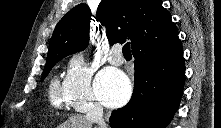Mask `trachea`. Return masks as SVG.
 Here are the masks:
<instances>
[{"label": "trachea", "mask_w": 221, "mask_h": 128, "mask_svg": "<svg viewBox=\"0 0 221 128\" xmlns=\"http://www.w3.org/2000/svg\"><path fill=\"white\" fill-rule=\"evenodd\" d=\"M122 53L125 57H131L130 44L128 42L124 44Z\"/></svg>", "instance_id": "trachea-1"}]
</instances>
